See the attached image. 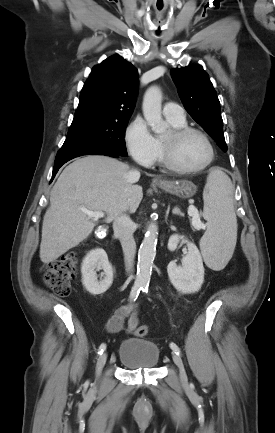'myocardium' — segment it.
Returning <instances> with one entry per match:
<instances>
[{
	"label": "myocardium",
	"mask_w": 275,
	"mask_h": 433,
	"mask_svg": "<svg viewBox=\"0 0 275 433\" xmlns=\"http://www.w3.org/2000/svg\"><path fill=\"white\" fill-rule=\"evenodd\" d=\"M194 133L201 135L207 142L210 151L209 158L205 163L198 167H182L176 162L174 158L173 146L184 137ZM161 144L164 164L170 170L180 174H194L205 170L212 164L216 154L215 146L211 137L204 130L197 127L184 126L179 128H172V130L170 131V140L166 141L162 139Z\"/></svg>",
	"instance_id": "f54148a6"
}]
</instances>
